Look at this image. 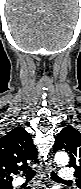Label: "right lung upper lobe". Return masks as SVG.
I'll use <instances>...</instances> for the list:
<instances>
[{
    "instance_id": "obj_1",
    "label": "right lung upper lobe",
    "mask_w": 81,
    "mask_h": 189,
    "mask_svg": "<svg viewBox=\"0 0 81 189\" xmlns=\"http://www.w3.org/2000/svg\"><path fill=\"white\" fill-rule=\"evenodd\" d=\"M28 162H38V152L29 133L14 128L0 138V186L12 185V174L29 168Z\"/></svg>"
}]
</instances>
